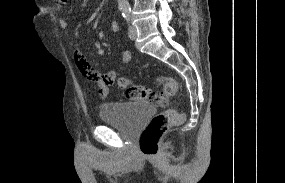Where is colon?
I'll return each mask as SVG.
<instances>
[{
    "label": "colon",
    "instance_id": "colon-1",
    "mask_svg": "<svg viewBox=\"0 0 285 183\" xmlns=\"http://www.w3.org/2000/svg\"><path fill=\"white\" fill-rule=\"evenodd\" d=\"M77 66L89 80L96 78L87 64L80 63ZM157 82L163 84L164 87L160 93H151L148 88L131 83L127 77H121L118 85L125 92L127 98L131 100L150 99L155 104L163 106L176 94L177 83L175 80L163 76H159ZM184 119V113L174 109H168L155 115L140 136L139 146L141 152L146 155H154L163 134L170 127L182 124Z\"/></svg>",
    "mask_w": 285,
    "mask_h": 183
}]
</instances>
